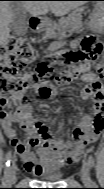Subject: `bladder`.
Segmentation results:
<instances>
[{"label":"bladder","mask_w":104,"mask_h":189,"mask_svg":"<svg viewBox=\"0 0 104 189\" xmlns=\"http://www.w3.org/2000/svg\"><path fill=\"white\" fill-rule=\"evenodd\" d=\"M60 171L61 170H57V171L47 170L44 171L40 175V177L47 182H56L62 178V173Z\"/></svg>","instance_id":"1"}]
</instances>
